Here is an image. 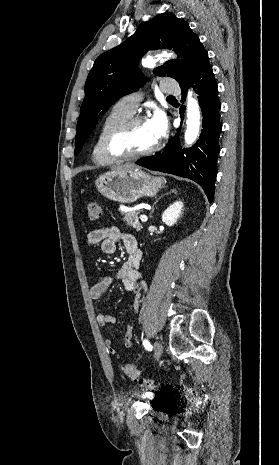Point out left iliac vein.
I'll list each match as a JSON object with an SVG mask.
<instances>
[{"mask_svg":"<svg viewBox=\"0 0 279 465\" xmlns=\"http://www.w3.org/2000/svg\"><path fill=\"white\" fill-rule=\"evenodd\" d=\"M154 355H155V358L158 360L162 353H163V346H162V343L158 340L155 341L154 343Z\"/></svg>","mask_w":279,"mask_h":465,"instance_id":"left-iliac-vein-1","label":"left iliac vein"}]
</instances>
